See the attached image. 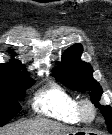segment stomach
<instances>
[{
  "label": "stomach",
  "instance_id": "obj_1",
  "mask_svg": "<svg viewBox=\"0 0 112 135\" xmlns=\"http://www.w3.org/2000/svg\"><path fill=\"white\" fill-rule=\"evenodd\" d=\"M71 134H73V135H92L94 133L90 132V131H86V130H74L73 132H71Z\"/></svg>",
  "mask_w": 112,
  "mask_h": 135
}]
</instances>
